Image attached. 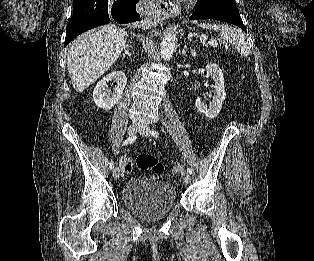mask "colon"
<instances>
[{"label":"colon","mask_w":314,"mask_h":261,"mask_svg":"<svg viewBox=\"0 0 314 261\" xmlns=\"http://www.w3.org/2000/svg\"><path fill=\"white\" fill-rule=\"evenodd\" d=\"M136 164L142 171H151L150 178L154 179L163 171L162 163L152 155L141 154L136 158ZM184 166L182 164H175L172 173L174 175H180Z\"/></svg>","instance_id":"5ec220e1"}]
</instances>
